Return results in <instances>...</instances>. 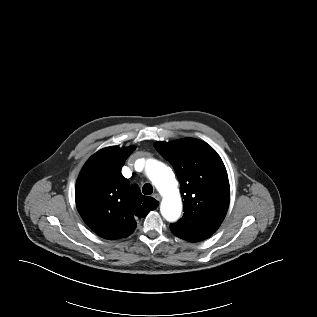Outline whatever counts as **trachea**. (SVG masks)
I'll use <instances>...</instances> for the list:
<instances>
[{
	"instance_id": "1",
	"label": "trachea",
	"mask_w": 317,
	"mask_h": 317,
	"mask_svg": "<svg viewBox=\"0 0 317 317\" xmlns=\"http://www.w3.org/2000/svg\"><path fill=\"white\" fill-rule=\"evenodd\" d=\"M142 192H143V194H145V195H150V194H152V192H153V187H152V185L149 184V183H146V184L143 186V188H142Z\"/></svg>"
}]
</instances>
